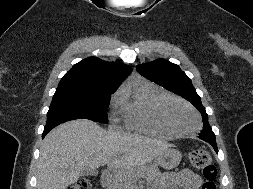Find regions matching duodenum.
Wrapping results in <instances>:
<instances>
[{"mask_svg": "<svg viewBox=\"0 0 253 189\" xmlns=\"http://www.w3.org/2000/svg\"><path fill=\"white\" fill-rule=\"evenodd\" d=\"M113 181V173L110 170L103 171L101 175V184L103 187H109Z\"/></svg>", "mask_w": 253, "mask_h": 189, "instance_id": "duodenum-1", "label": "duodenum"}]
</instances>
